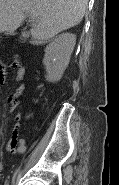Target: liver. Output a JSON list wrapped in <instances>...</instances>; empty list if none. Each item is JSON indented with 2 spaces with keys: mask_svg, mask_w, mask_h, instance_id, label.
Instances as JSON below:
<instances>
[{
  "mask_svg": "<svg viewBox=\"0 0 119 185\" xmlns=\"http://www.w3.org/2000/svg\"><path fill=\"white\" fill-rule=\"evenodd\" d=\"M88 0H0V33L14 32L29 15L36 44L78 25Z\"/></svg>",
  "mask_w": 119,
  "mask_h": 185,
  "instance_id": "liver-1",
  "label": "liver"
}]
</instances>
